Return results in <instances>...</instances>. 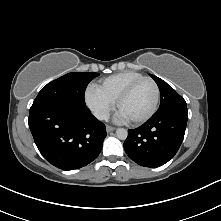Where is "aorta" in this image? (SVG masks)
<instances>
[{"label":"aorta","instance_id":"1","mask_svg":"<svg viewBox=\"0 0 221 221\" xmlns=\"http://www.w3.org/2000/svg\"><path fill=\"white\" fill-rule=\"evenodd\" d=\"M116 136L120 139V140H125L128 136V132L126 129L124 128H118L116 130Z\"/></svg>","mask_w":221,"mask_h":221}]
</instances>
